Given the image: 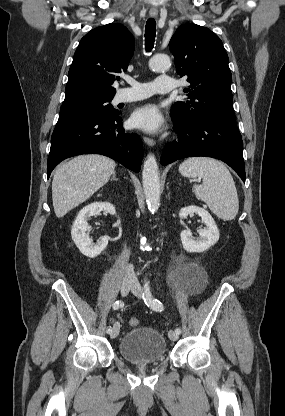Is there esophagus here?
I'll return each instance as SVG.
<instances>
[{
  "label": "esophagus",
  "mask_w": 285,
  "mask_h": 416,
  "mask_svg": "<svg viewBox=\"0 0 285 416\" xmlns=\"http://www.w3.org/2000/svg\"><path fill=\"white\" fill-rule=\"evenodd\" d=\"M150 17H157L158 12H149ZM144 143H146L148 146H154L155 141L152 138H148L147 136L143 137Z\"/></svg>",
  "instance_id": "esophagus-1"
}]
</instances>
